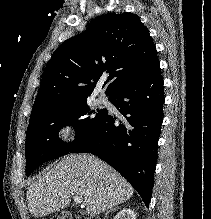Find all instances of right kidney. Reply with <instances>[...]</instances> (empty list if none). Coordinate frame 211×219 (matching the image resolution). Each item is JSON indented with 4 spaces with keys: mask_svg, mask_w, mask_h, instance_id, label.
<instances>
[{
    "mask_svg": "<svg viewBox=\"0 0 211 219\" xmlns=\"http://www.w3.org/2000/svg\"><path fill=\"white\" fill-rule=\"evenodd\" d=\"M113 219H136V214L130 208H124Z\"/></svg>",
    "mask_w": 211,
    "mask_h": 219,
    "instance_id": "right-kidney-1",
    "label": "right kidney"
}]
</instances>
